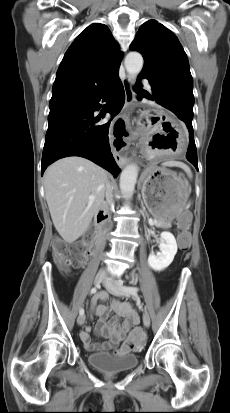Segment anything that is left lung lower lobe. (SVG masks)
<instances>
[{
	"instance_id": "1",
	"label": "left lung lower lobe",
	"mask_w": 230,
	"mask_h": 413,
	"mask_svg": "<svg viewBox=\"0 0 230 413\" xmlns=\"http://www.w3.org/2000/svg\"><path fill=\"white\" fill-rule=\"evenodd\" d=\"M142 77H138L137 83H136V87H139L141 85L140 83V79ZM178 113V112H176ZM180 118L183 119V122L185 123L188 131H189V146L187 149V153H186V158L189 162H191L195 168L198 170V160H197V151H196V145H195V141H194V136H193V127H192V121L186 119L183 115L179 114Z\"/></svg>"
}]
</instances>
